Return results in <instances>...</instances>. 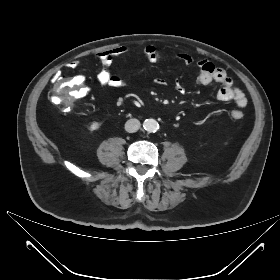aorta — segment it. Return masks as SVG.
<instances>
[{"mask_svg": "<svg viewBox=\"0 0 280 280\" xmlns=\"http://www.w3.org/2000/svg\"><path fill=\"white\" fill-rule=\"evenodd\" d=\"M143 126L148 132H156L159 129V124L155 119H146Z\"/></svg>", "mask_w": 280, "mask_h": 280, "instance_id": "1", "label": "aorta"}]
</instances>
